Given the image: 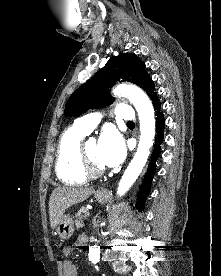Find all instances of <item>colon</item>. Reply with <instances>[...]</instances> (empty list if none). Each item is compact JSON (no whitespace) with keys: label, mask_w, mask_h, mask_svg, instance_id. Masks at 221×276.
<instances>
[{"label":"colon","mask_w":221,"mask_h":276,"mask_svg":"<svg viewBox=\"0 0 221 276\" xmlns=\"http://www.w3.org/2000/svg\"><path fill=\"white\" fill-rule=\"evenodd\" d=\"M53 247H66V242H53Z\"/></svg>","instance_id":"5ec220e1"}]
</instances>
